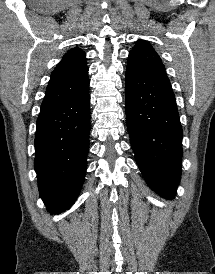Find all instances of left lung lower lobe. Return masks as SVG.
<instances>
[{"mask_svg": "<svg viewBox=\"0 0 215 274\" xmlns=\"http://www.w3.org/2000/svg\"><path fill=\"white\" fill-rule=\"evenodd\" d=\"M126 120L147 184L173 198L181 177L182 127L168 80L126 68Z\"/></svg>", "mask_w": 215, "mask_h": 274, "instance_id": "1", "label": "left lung lower lobe"}]
</instances>
